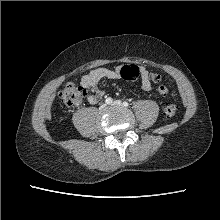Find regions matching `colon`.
<instances>
[{"label": "colon", "mask_w": 220, "mask_h": 220, "mask_svg": "<svg viewBox=\"0 0 220 220\" xmlns=\"http://www.w3.org/2000/svg\"><path fill=\"white\" fill-rule=\"evenodd\" d=\"M141 74V70L135 65H125L120 70V76L127 81H135ZM148 77L150 80L159 83L161 76L153 71H148ZM157 92L161 95L168 93V88L159 84L157 87ZM83 95V90L81 87L74 83L67 84L63 90L60 92L59 100L63 108H70L75 105ZM177 112V107L174 104L167 105L163 109V116L167 119L172 118Z\"/></svg>", "instance_id": "5ec220e1"}]
</instances>
